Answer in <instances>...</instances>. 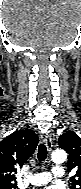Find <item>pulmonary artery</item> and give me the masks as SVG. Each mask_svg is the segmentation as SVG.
<instances>
[{"label": "pulmonary artery", "mask_w": 81, "mask_h": 189, "mask_svg": "<svg viewBox=\"0 0 81 189\" xmlns=\"http://www.w3.org/2000/svg\"><path fill=\"white\" fill-rule=\"evenodd\" d=\"M64 176V169L60 166L53 167L52 174L49 172L37 173L31 176L30 183L35 186L45 185L54 178H62Z\"/></svg>", "instance_id": "obj_1"}]
</instances>
